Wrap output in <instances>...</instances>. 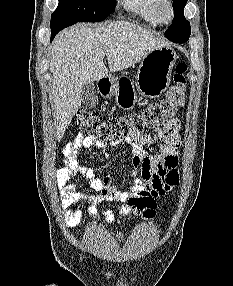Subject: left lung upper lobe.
I'll return each mask as SVG.
<instances>
[{
  "label": "left lung upper lobe",
  "instance_id": "obj_1",
  "mask_svg": "<svg viewBox=\"0 0 233 286\" xmlns=\"http://www.w3.org/2000/svg\"><path fill=\"white\" fill-rule=\"evenodd\" d=\"M174 9V22L166 30L165 36L173 42H186L190 36V23L183 15L187 0H172Z\"/></svg>",
  "mask_w": 233,
  "mask_h": 286
}]
</instances>
